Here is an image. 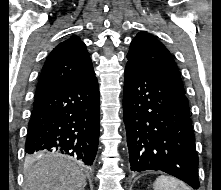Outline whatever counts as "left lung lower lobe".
Returning a JSON list of instances; mask_svg holds the SVG:
<instances>
[{
	"label": "left lung lower lobe",
	"mask_w": 221,
	"mask_h": 190,
	"mask_svg": "<svg viewBox=\"0 0 221 190\" xmlns=\"http://www.w3.org/2000/svg\"><path fill=\"white\" fill-rule=\"evenodd\" d=\"M123 114L132 171L161 170L199 188L198 155L185 93L155 72L127 62Z\"/></svg>",
	"instance_id": "0a47b994"
}]
</instances>
